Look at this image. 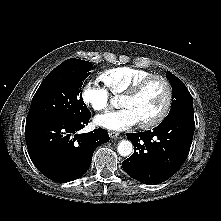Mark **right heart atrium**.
I'll use <instances>...</instances> for the list:
<instances>
[{
	"mask_svg": "<svg viewBox=\"0 0 221 221\" xmlns=\"http://www.w3.org/2000/svg\"><path fill=\"white\" fill-rule=\"evenodd\" d=\"M83 103L96 112H105L110 108V97L108 92L97 83L88 81L81 89Z\"/></svg>",
	"mask_w": 221,
	"mask_h": 221,
	"instance_id": "d8ad5b80",
	"label": "right heart atrium"
}]
</instances>
